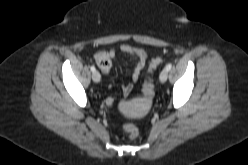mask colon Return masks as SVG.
Masks as SVG:
<instances>
[{
	"instance_id": "colon-1",
	"label": "colon",
	"mask_w": 248,
	"mask_h": 165,
	"mask_svg": "<svg viewBox=\"0 0 248 165\" xmlns=\"http://www.w3.org/2000/svg\"><path fill=\"white\" fill-rule=\"evenodd\" d=\"M95 62L98 65V67L105 66L107 64L106 55L103 53L97 54L95 56ZM162 62L163 59L161 57H155L149 63V75L146 77L142 85V95L146 100H151L154 94V84L151 77V73L157 67H159L162 64ZM123 130L130 139H135L139 134L138 127L134 124H125L123 126Z\"/></svg>"
}]
</instances>
